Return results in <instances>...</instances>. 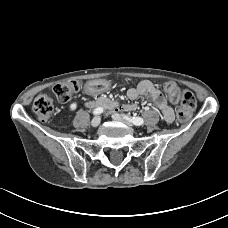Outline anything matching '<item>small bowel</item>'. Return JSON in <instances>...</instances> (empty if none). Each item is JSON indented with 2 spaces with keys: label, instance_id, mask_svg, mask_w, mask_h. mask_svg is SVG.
<instances>
[{
  "label": "small bowel",
  "instance_id": "1",
  "mask_svg": "<svg viewBox=\"0 0 228 228\" xmlns=\"http://www.w3.org/2000/svg\"><path fill=\"white\" fill-rule=\"evenodd\" d=\"M104 85L100 84L96 86V89L103 88ZM95 89V88H94ZM127 97L131 100H135L139 97H149L157 108L161 111L165 121L167 123H172L174 120V110L171 107V99L163 95L152 82L148 80L141 81L137 86L129 88L127 90ZM104 98H98L94 100H89L86 102V106L89 108L103 106L107 109L114 111H133L137 109L136 104H122L117 108H108L103 103Z\"/></svg>",
  "mask_w": 228,
  "mask_h": 228
}]
</instances>
